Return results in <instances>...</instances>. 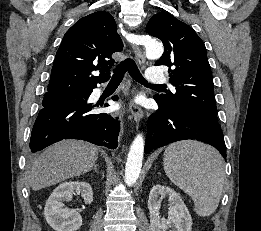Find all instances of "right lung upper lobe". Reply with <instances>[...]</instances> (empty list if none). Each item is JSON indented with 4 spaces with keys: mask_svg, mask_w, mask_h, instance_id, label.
Here are the masks:
<instances>
[{
    "mask_svg": "<svg viewBox=\"0 0 261 231\" xmlns=\"http://www.w3.org/2000/svg\"><path fill=\"white\" fill-rule=\"evenodd\" d=\"M122 49L115 20L108 12L81 18L63 37L46 94L88 92L107 81L108 69L114 65L111 55ZM94 70H100V75H92Z\"/></svg>",
    "mask_w": 261,
    "mask_h": 231,
    "instance_id": "right-lung-upper-lobe-1",
    "label": "right lung upper lobe"
}]
</instances>
